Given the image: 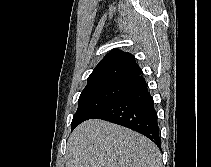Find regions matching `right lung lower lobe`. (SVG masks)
Masks as SVG:
<instances>
[{
    "label": "right lung lower lobe",
    "instance_id": "obj_1",
    "mask_svg": "<svg viewBox=\"0 0 211 167\" xmlns=\"http://www.w3.org/2000/svg\"><path fill=\"white\" fill-rule=\"evenodd\" d=\"M103 119L135 130L159 148L160 133L154 101L145 79L139 75L132 80L130 88L91 119Z\"/></svg>",
    "mask_w": 211,
    "mask_h": 167
}]
</instances>
